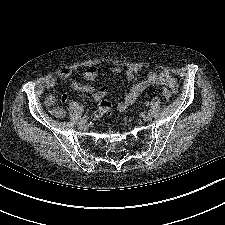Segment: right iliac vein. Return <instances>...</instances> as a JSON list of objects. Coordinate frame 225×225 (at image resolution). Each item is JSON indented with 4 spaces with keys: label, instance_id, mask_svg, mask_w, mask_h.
Segmentation results:
<instances>
[{
    "label": "right iliac vein",
    "instance_id": "right-iliac-vein-1",
    "mask_svg": "<svg viewBox=\"0 0 225 225\" xmlns=\"http://www.w3.org/2000/svg\"><path fill=\"white\" fill-rule=\"evenodd\" d=\"M78 125H79V128H81V129H86L87 128L86 121H80Z\"/></svg>",
    "mask_w": 225,
    "mask_h": 225
}]
</instances>
